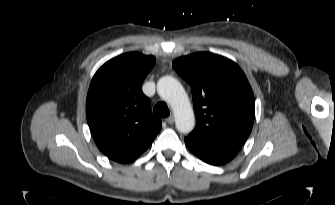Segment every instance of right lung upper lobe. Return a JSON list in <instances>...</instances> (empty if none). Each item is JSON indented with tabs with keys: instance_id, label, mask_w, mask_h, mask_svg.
Listing matches in <instances>:
<instances>
[{
	"instance_id": "obj_1",
	"label": "right lung upper lobe",
	"mask_w": 335,
	"mask_h": 205,
	"mask_svg": "<svg viewBox=\"0 0 335 205\" xmlns=\"http://www.w3.org/2000/svg\"><path fill=\"white\" fill-rule=\"evenodd\" d=\"M155 57L125 53L95 73L86 100V116L99 149L110 159L129 163L149 148L161 129L142 83Z\"/></svg>"
}]
</instances>
